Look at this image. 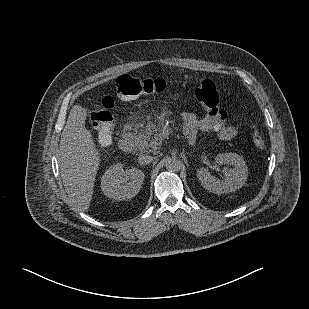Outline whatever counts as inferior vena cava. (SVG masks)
Wrapping results in <instances>:
<instances>
[{"instance_id": "1", "label": "inferior vena cava", "mask_w": 309, "mask_h": 309, "mask_svg": "<svg viewBox=\"0 0 309 309\" xmlns=\"http://www.w3.org/2000/svg\"><path fill=\"white\" fill-rule=\"evenodd\" d=\"M154 160V157L153 156H150V155H140L138 157V163L140 165H147V164H150L152 161Z\"/></svg>"}]
</instances>
